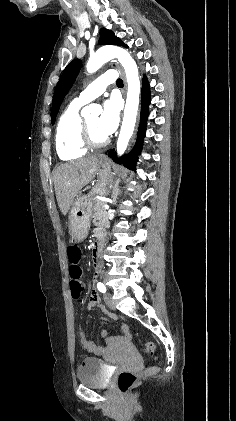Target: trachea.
<instances>
[{
    "label": "trachea",
    "mask_w": 236,
    "mask_h": 421,
    "mask_svg": "<svg viewBox=\"0 0 236 421\" xmlns=\"http://www.w3.org/2000/svg\"><path fill=\"white\" fill-rule=\"evenodd\" d=\"M116 85L119 87L123 86V80H121V78H118V80L116 81Z\"/></svg>",
    "instance_id": "3493384b"
}]
</instances>
